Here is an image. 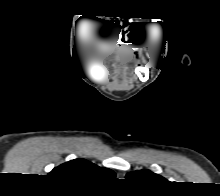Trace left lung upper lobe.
<instances>
[{
    "label": "left lung upper lobe",
    "instance_id": "obj_1",
    "mask_svg": "<svg viewBox=\"0 0 220 196\" xmlns=\"http://www.w3.org/2000/svg\"><path fill=\"white\" fill-rule=\"evenodd\" d=\"M126 179L143 184H152L165 180L162 176L155 174L150 170L130 172L126 175Z\"/></svg>",
    "mask_w": 220,
    "mask_h": 196
}]
</instances>
